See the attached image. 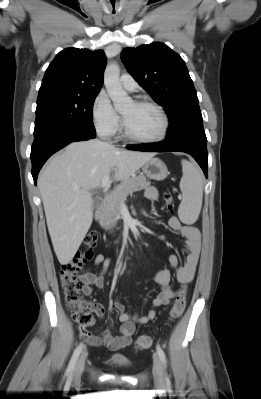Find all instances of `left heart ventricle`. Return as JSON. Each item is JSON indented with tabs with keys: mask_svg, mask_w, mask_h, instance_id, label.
<instances>
[{
	"mask_svg": "<svg viewBox=\"0 0 261 399\" xmlns=\"http://www.w3.org/2000/svg\"><path fill=\"white\" fill-rule=\"evenodd\" d=\"M130 131L143 138H152L160 134L163 121L154 108L130 102L121 111Z\"/></svg>",
	"mask_w": 261,
	"mask_h": 399,
	"instance_id": "1",
	"label": "left heart ventricle"
}]
</instances>
